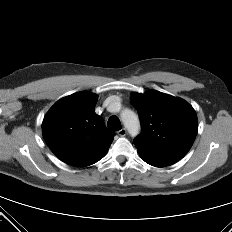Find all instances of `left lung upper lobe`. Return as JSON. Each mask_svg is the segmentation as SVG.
<instances>
[{
	"label": "left lung upper lobe",
	"instance_id": "1",
	"mask_svg": "<svg viewBox=\"0 0 232 232\" xmlns=\"http://www.w3.org/2000/svg\"><path fill=\"white\" fill-rule=\"evenodd\" d=\"M142 133L134 140L142 159L166 161L182 159L190 150L198 128L195 110L181 98L156 90L134 93Z\"/></svg>",
	"mask_w": 232,
	"mask_h": 232
}]
</instances>
